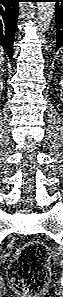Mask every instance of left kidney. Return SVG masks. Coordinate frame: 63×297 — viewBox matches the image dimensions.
<instances>
[{
    "instance_id": "5707ae66",
    "label": "left kidney",
    "mask_w": 63,
    "mask_h": 297,
    "mask_svg": "<svg viewBox=\"0 0 63 297\" xmlns=\"http://www.w3.org/2000/svg\"><path fill=\"white\" fill-rule=\"evenodd\" d=\"M60 93H61V97L63 96V81H60Z\"/></svg>"
}]
</instances>
